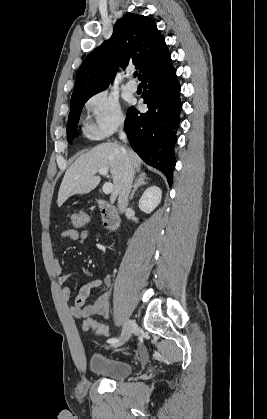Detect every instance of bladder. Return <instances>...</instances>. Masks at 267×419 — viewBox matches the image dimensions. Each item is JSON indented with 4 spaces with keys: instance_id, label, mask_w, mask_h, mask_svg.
<instances>
[{
    "instance_id": "obj_1",
    "label": "bladder",
    "mask_w": 267,
    "mask_h": 419,
    "mask_svg": "<svg viewBox=\"0 0 267 419\" xmlns=\"http://www.w3.org/2000/svg\"><path fill=\"white\" fill-rule=\"evenodd\" d=\"M89 368L93 374L111 380H121L133 372V365L125 360L110 358L100 353L92 355Z\"/></svg>"
}]
</instances>
